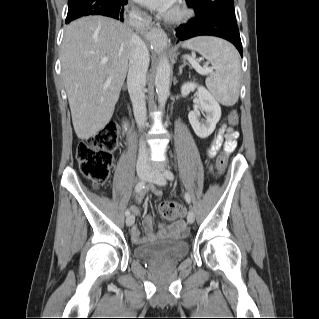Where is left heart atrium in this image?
<instances>
[{
    "instance_id": "1",
    "label": "left heart atrium",
    "mask_w": 319,
    "mask_h": 319,
    "mask_svg": "<svg viewBox=\"0 0 319 319\" xmlns=\"http://www.w3.org/2000/svg\"><path fill=\"white\" fill-rule=\"evenodd\" d=\"M137 2L147 6L161 14L168 13L173 7L175 0H136Z\"/></svg>"
}]
</instances>
